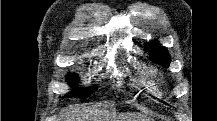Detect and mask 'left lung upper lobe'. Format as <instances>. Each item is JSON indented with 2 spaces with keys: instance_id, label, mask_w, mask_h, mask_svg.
<instances>
[{
  "instance_id": "5c2ea615",
  "label": "left lung upper lobe",
  "mask_w": 217,
  "mask_h": 121,
  "mask_svg": "<svg viewBox=\"0 0 217 121\" xmlns=\"http://www.w3.org/2000/svg\"><path fill=\"white\" fill-rule=\"evenodd\" d=\"M145 48L150 52L151 59L165 67L169 66L170 56L165 47L160 46L158 43H147Z\"/></svg>"
}]
</instances>
